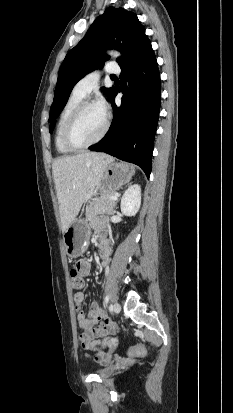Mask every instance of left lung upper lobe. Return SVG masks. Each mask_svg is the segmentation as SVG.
Listing matches in <instances>:
<instances>
[{"mask_svg": "<svg viewBox=\"0 0 233 413\" xmlns=\"http://www.w3.org/2000/svg\"><path fill=\"white\" fill-rule=\"evenodd\" d=\"M145 38V29L136 14L123 8H107L93 22L85 37L66 55L59 69L49 122L58 117L75 84L108 59L103 54L104 49L114 48L124 54L117 60L121 64ZM113 90L114 87L105 89L109 98ZM54 124L51 123L50 132Z\"/></svg>", "mask_w": 233, "mask_h": 413, "instance_id": "5c2ea615", "label": "left lung upper lobe"}]
</instances>
